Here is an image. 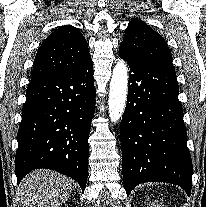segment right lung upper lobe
<instances>
[{
	"label": "right lung upper lobe",
	"mask_w": 206,
	"mask_h": 207,
	"mask_svg": "<svg viewBox=\"0 0 206 207\" xmlns=\"http://www.w3.org/2000/svg\"><path fill=\"white\" fill-rule=\"evenodd\" d=\"M91 60L87 41L81 32L64 25L51 33L40 46L34 60L31 80L71 73Z\"/></svg>",
	"instance_id": "right-lung-upper-lobe-1"
}]
</instances>
